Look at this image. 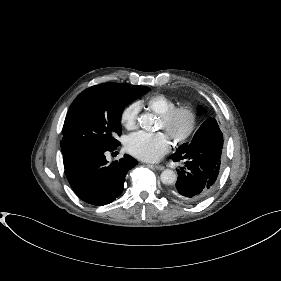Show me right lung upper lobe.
Returning a JSON list of instances; mask_svg holds the SVG:
<instances>
[{"label":"right lung upper lobe","mask_w":281,"mask_h":281,"mask_svg":"<svg viewBox=\"0 0 281 281\" xmlns=\"http://www.w3.org/2000/svg\"><path fill=\"white\" fill-rule=\"evenodd\" d=\"M99 85L109 87L114 90H127V89H131L133 87V85L124 84V83H104V84H99Z\"/></svg>","instance_id":"cb5924a9"}]
</instances>
